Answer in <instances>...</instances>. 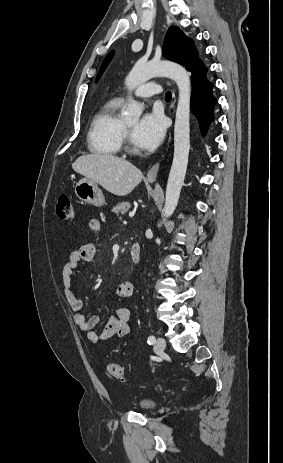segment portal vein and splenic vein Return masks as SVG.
<instances>
[{"label":"portal vein and splenic vein","mask_w":283,"mask_h":463,"mask_svg":"<svg viewBox=\"0 0 283 463\" xmlns=\"http://www.w3.org/2000/svg\"><path fill=\"white\" fill-rule=\"evenodd\" d=\"M134 214H135L134 212H130V213H129V216H130V217H133Z\"/></svg>","instance_id":"1"}]
</instances>
